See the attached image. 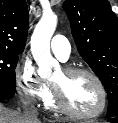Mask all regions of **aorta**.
<instances>
[{
	"label": "aorta",
	"mask_w": 118,
	"mask_h": 123,
	"mask_svg": "<svg viewBox=\"0 0 118 123\" xmlns=\"http://www.w3.org/2000/svg\"><path fill=\"white\" fill-rule=\"evenodd\" d=\"M57 26L55 14L43 15L31 37V52L41 77H49L58 62L50 53V40Z\"/></svg>",
	"instance_id": "obj_1"
}]
</instances>
